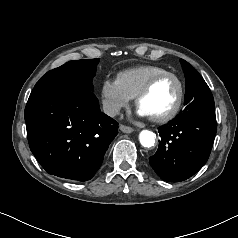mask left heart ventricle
I'll list each match as a JSON object with an SVG mask.
<instances>
[{
    "instance_id": "1",
    "label": "left heart ventricle",
    "mask_w": 238,
    "mask_h": 238,
    "mask_svg": "<svg viewBox=\"0 0 238 238\" xmlns=\"http://www.w3.org/2000/svg\"><path fill=\"white\" fill-rule=\"evenodd\" d=\"M178 92L179 88L175 79L172 77L162 78L141 99L139 108L149 117L163 115L174 106Z\"/></svg>"
}]
</instances>
